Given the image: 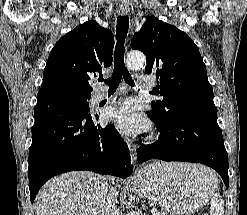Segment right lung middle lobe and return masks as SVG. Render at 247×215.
I'll return each mask as SVG.
<instances>
[{
	"mask_svg": "<svg viewBox=\"0 0 247 215\" xmlns=\"http://www.w3.org/2000/svg\"><path fill=\"white\" fill-rule=\"evenodd\" d=\"M41 91L61 101L77 106L85 111H89V105L87 100L90 99V95H84L62 88H49Z\"/></svg>",
	"mask_w": 247,
	"mask_h": 215,
	"instance_id": "dd1d6c3e",
	"label": "right lung middle lobe"
}]
</instances>
